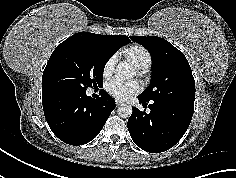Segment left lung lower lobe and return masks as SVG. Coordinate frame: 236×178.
<instances>
[{
    "label": "left lung lower lobe",
    "mask_w": 236,
    "mask_h": 178,
    "mask_svg": "<svg viewBox=\"0 0 236 178\" xmlns=\"http://www.w3.org/2000/svg\"><path fill=\"white\" fill-rule=\"evenodd\" d=\"M139 102L148 101L138 96ZM127 126L134 143L150 153L164 152L173 147L185 134L191 122L194 106L154 102L148 105L150 113L136 107Z\"/></svg>",
    "instance_id": "obj_1"
}]
</instances>
